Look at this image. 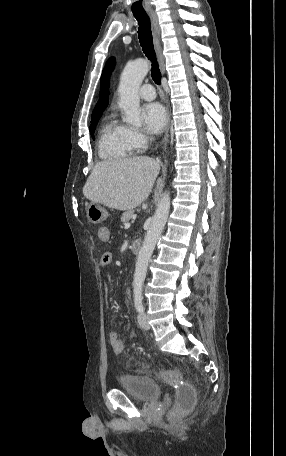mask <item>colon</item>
<instances>
[{"mask_svg":"<svg viewBox=\"0 0 286 456\" xmlns=\"http://www.w3.org/2000/svg\"><path fill=\"white\" fill-rule=\"evenodd\" d=\"M156 375L176 390L175 403L180 410H189L195 402V389L186 384L176 370H156Z\"/></svg>","mask_w":286,"mask_h":456,"instance_id":"5ec220e1","label":"colon"}]
</instances>
